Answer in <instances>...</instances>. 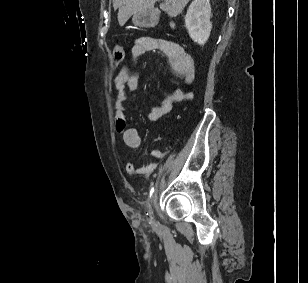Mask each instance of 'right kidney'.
<instances>
[{
	"instance_id": "1",
	"label": "right kidney",
	"mask_w": 308,
	"mask_h": 283,
	"mask_svg": "<svg viewBox=\"0 0 308 283\" xmlns=\"http://www.w3.org/2000/svg\"><path fill=\"white\" fill-rule=\"evenodd\" d=\"M210 0H194L185 15V27L190 38L203 46L212 29Z\"/></svg>"
}]
</instances>
